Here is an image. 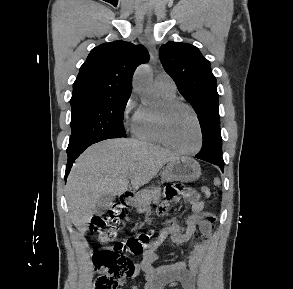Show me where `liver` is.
Here are the masks:
<instances>
[{"label": "liver", "instance_id": "obj_1", "mask_svg": "<svg viewBox=\"0 0 293 289\" xmlns=\"http://www.w3.org/2000/svg\"><path fill=\"white\" fill-rule=\"evenodd\" d=\"M178 155L137 139H109L90 146L81 154L68 176L66 198L70 218L84 234L103 195H121L129 179L135 188L151 181Z\"/></svg>", "mask_w": 293, "mask_h": 289}]
</instances>
